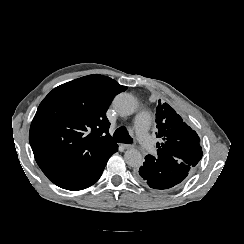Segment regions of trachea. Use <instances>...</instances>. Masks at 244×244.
Returning a JSON list of instances; mask_svg holds the SVG:
<instances>
[{"label":"trachea","instance_id":"obj_1","mask_svg":"<svg viewBox=\"0 0 244 244\" xmlns=\"http://www.w3.org/2000/svg\"><path fill=\"white\" fill-rule=\"evenodd\" d=\"M114 140L120 143L133 142V139L129 136L125 127H120L114 132Z\"/></svg>","mask_w":244,"mask_h":244}]
</instances>
